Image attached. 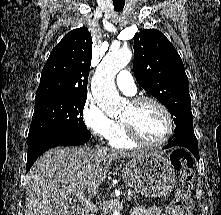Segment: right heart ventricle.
<instances>
[{
  "label": "right heart ventricle",
  "mask_w": 221,
  "mask_h": 215,
  "mask_svg": "<svg viewBox=\"0 0 221 215\" xmlns=\"http://www.w3.org/2000/svg\"><path fill=\"white\" fill-rule=\"evenodd\" d=\"M108 140L111 146L119 149H133L137 146L128 138L122 123L119 121L116 122L115 133Z\"/></svg>",
  "instance_id": "e07e8e85"
}]
</instances>
